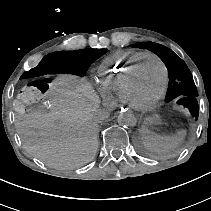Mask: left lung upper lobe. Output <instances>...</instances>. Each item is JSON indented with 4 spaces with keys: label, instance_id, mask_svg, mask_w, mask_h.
<instances>
[{
    "label": "left lung upper lobe",
    "instance_id": "1",
    "mask_svg": "<svg viewBox=\"0 0 211 211\" xmlns=\"http://www.w3.org/2000/svg\"><path fill=\"white\" fill-rule=\"evenodd\" d=\"M132 47L146 48L155 54L165 63L168 69L169 85L165 101L169 102L179 99L178 104L187 107L195 118H198L199 107L196 97L198 96L192 74L185 62L180 59L169 48L153 43L143 42L132 44Z\"/></svg>",
    "mask_w": 211,
    "mask_h": 211
}]
</instances>
